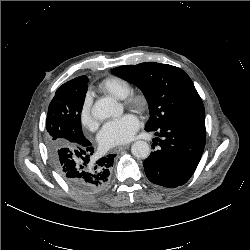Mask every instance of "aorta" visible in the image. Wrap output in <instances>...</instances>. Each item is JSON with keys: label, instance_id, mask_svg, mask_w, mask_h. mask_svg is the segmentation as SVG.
Masks as SVG:
<instances>
[{"label": "aorta", "instance_id": "762f6f07", "mask_svg": "<svg viewBox=\"0 0 250 250\" xmlns=\"http://www.w3.org/2000/svg\"><path fill=\"white\" fill-rule=\"evenodd\" d=\"M121 108L116 100L105 97L96 101L92 107V115L99 120L107 119L120 114ZM131 153L140 159H145L150 154V147L145 141H136L131 146Z\"/></svg>", "mask_w": 250, "mask_h": 250}]
</instances>
